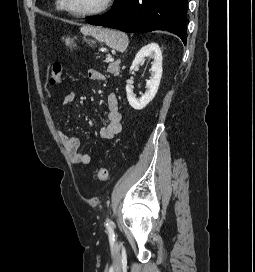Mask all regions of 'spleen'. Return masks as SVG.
Wrapping results in <instances>:
<instances>
[{
    "mask_svg": "<svg viewBox=\"0 0 255 272\" xmlns=\"http://www.w3.org/2000/svg\"><path fill=\"white\" fill-rule=\"evenodd\" d=\"M84 35H90L107 46L124 52L128 46V37L121 31L106 29L101 27L84 26L81 28Z\"/></svg>",
    "mask_w": 255,
    "mask_h": 272,
    "instance_id": "1",
    "label": "spleen"
}]
</instances>
